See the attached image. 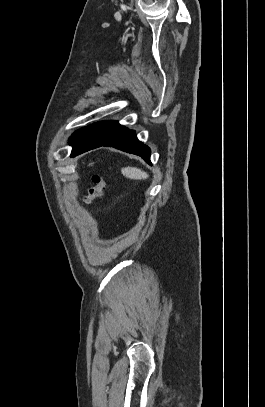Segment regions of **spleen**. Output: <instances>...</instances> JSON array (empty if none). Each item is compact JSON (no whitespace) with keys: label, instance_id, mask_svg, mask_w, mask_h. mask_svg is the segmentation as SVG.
<instances>
[{"label":"spleen","instance_id":"obj_1","mask_svg":"<svg viewBox=\"0 0 265 407\" xmlns=\"http://www.w3.org/2000/svg\"><path fill=\"white\" fill-rule=\"evenodd\" d=\"M121 172L126 178L135 180L147 179L149 177L146 172L136 167H125L122 168Z\"/></svg>","mask_w":265,"mask_h":407}]
</instances>
